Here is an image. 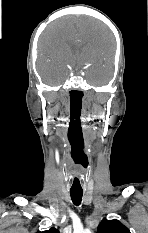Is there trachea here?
<instances>
[{"instance_id": "obj_1", "label": "trachea", "mask_w": 148, "mask_h": 233, "mask_svg": "<svg viewBox=\"0 0 148 233\" xmlns=\"http://www.w3.org/2000/svg\"><path fill=\"white\" fill-rule=\"evenodd\" d=\"M70 195L73 204L79 206L81 204L83 191H70Z\"/></svg>"}]
</instances>
